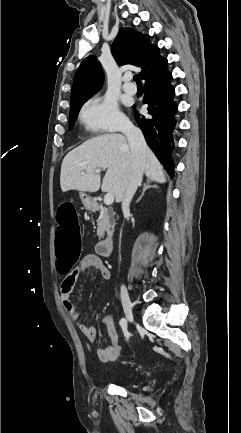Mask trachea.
Segmentation results:
<instances>
[{
	"instance_id": "trachea-1",
	"label": "trachea",
	"mask_w": 241,
	"mask_h": 433,
	"mask_svg": "<svg viewBox=\"0 0 241 433\" xmlns=\"http://www.w3.org/2000/svg\"><path fill=\"white\" fill-rule=\"evenodd\" d=\"M134 81L137 83V85H142L138 74L134 75Z\"/></svg>"
}]
</instances>
